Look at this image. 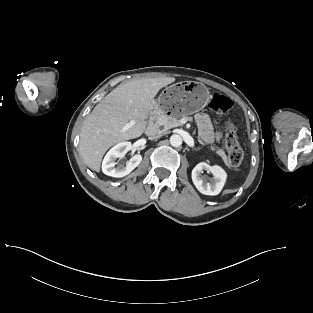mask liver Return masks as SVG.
I'll list each match as a JSON object with an SVG mask.
<instances>
[{
    "label": "liver",
    "instance_id": "1",
    "mask_svg": "<svg viewBox=\"0 0 313 313\" xmlns=\"http://www.w3.org/2000/svg\"><path fill=\"white\" fill-rule=\"evenodd\" d=\"M173 77L142 78L119 85L105 96L85 119L79 151L86 165L99 172L105 152L114 144L140 137L159 90ZM133 126L122 132L130 122Z\"/></svg>",
    "mask_w": 313,
    "mask_h": 313
}]
</instances>
